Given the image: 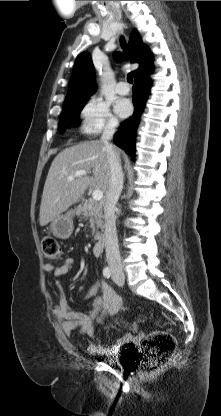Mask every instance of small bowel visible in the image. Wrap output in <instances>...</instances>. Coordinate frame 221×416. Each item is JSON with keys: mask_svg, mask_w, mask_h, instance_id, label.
I'll use <instances>...</instances> for the list:
<instances>
[{"mask_svg": "<svg viewBox=\"0 0 221 416\" xmlns=\"http://www.w3.org/2000/svg\"><path fill=\"white\" fill-rule=\"evenodd\" d=\"M75 264L76 260L73 257H67L59 264L46 263L43 266V271L61 277L67 274ZM57 289L59 302L53 309L54 317L60 322L65 335L71 336L76 329H79L90 339L86 348L90 354L113 355L121 347L133 341L132 335L126 334L109 347H105L99 342L96 323L101 322L107 315L117 314L122 307L121 297L104 280L95 281L85 292V299L94 298L93 309L88 314L69 308L60 282L57 283ZM99 291L101 295L97 296Z\"/></svg>", "mask_w": 221, "mask_h": 416, "instance_id": "c3829d8e", "label": "small bowel"}]
</instances>
